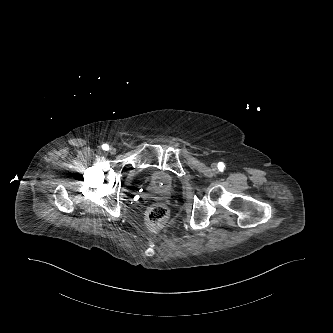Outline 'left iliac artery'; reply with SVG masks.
Segmentation results:
<instances>
[{"label":"left iliac artery","instance_id":"obj_1","mask_svg":"<svg viewBox=\"0 0 333 333\" xmlns=\"http://www.w3.org/2000/svg\"><path fill=\"white\" fill-rule=\"evenodd\" d=\"M224 166H225V165H224L223 162H219V163H218V169H219V170H223Z\"/></svg>","mask_w":333,"mask_h":333}]
</instances>
